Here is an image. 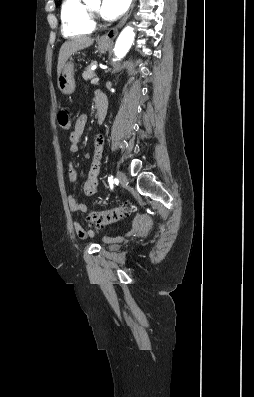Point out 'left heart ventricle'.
Here are the masks:
<instances>
[{"label": "left heart ventricle", "mask_w": 254, "mask_h": 397, "mask_svg": "<svg viewBox=\"0 0 254 397\" xmlns=\"http://www.w3.org/2000/svg\"><path fill=\"white\" fill-rule=\"evenodd\" d=\"M90 7H91V9H93V10L97 11V10H98V8H99V5H98V4H95V5H93V6H90Z\"/></svg>", "instance_id": "left-heart-ventricle-1"}]
</instances>
